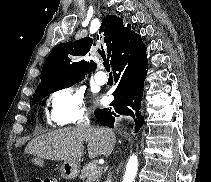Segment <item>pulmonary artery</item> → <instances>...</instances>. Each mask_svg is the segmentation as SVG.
<instances>
[{"label":"pulmonary artery","instance_id":"1","mask_svg":"<svg viewBox=\"0 0 211 182\" xmlns=\"http://www.w3.org/2000/svg\"><path fill=\"white\" fill-rule=\"evenodd\" d=\"M94 78H95L96 83L100 85L105 84L107 81V75L103 71L97 72Z\"/></svg>","mask_w":211,"mask_h":182}]
</instances>
